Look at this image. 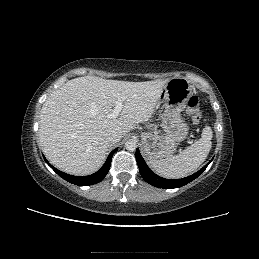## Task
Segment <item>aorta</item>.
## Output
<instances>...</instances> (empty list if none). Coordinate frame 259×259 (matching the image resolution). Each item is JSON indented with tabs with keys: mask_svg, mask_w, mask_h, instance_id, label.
I'll return each mask as SVG.
<instances>
[{
	"mask_svg": "<svg viewBox=\"0 0 259 259\" xmlns=\"http://www.w3.org/2000/svg\"><path fill=\"white\" fill-rule=\"evenodd\" d=\"M125 148H126V150L132 152V151L136 150L137 144L134 140H129L125 143Z\"/></svg>",
	"mask_w": 259,
	"mask_h": 259,
	"instance_id": "obj_1",
	"label": "aorta"
}]
</instances>
